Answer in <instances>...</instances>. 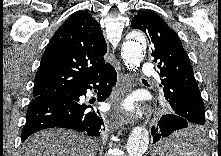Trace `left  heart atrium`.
Instances as JSON below:
<instances>
[{"label":"left heart atrium","instance_id":"39dd6f15","mask_svg":"<svg viewBox=\"0 0 221 156\" xmlns=\"http://www.w3.org/2000/svg\"><path fill=\"white\" fill-rule=\"evenodd\" d=\"M120 108L126 112H132L134 110L133 100L127 99L123 101Z\"/></svg>","mask_w":221,"mask_h":156}]
</instances>
